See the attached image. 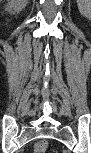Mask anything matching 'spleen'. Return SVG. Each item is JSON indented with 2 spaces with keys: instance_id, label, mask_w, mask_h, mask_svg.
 I'll list each match as a JSON object with an SVG mask.
<instances>
[{
  "instance_id": "1",
  "label": "spleen",
  "mask_w": 91,
  "mask_h": 153,
  "mask_svg": "<svg viewBox=\"0 0 91 153\" xmlns=\"http://www.w3.org/2000/svg\"><path fill=\"white\" fill-rule=\"evenodd\" d=\"M79 12L89 18L91 15V1L90 0H78L77 1Z\"/></svg>"
}]
</instances>
